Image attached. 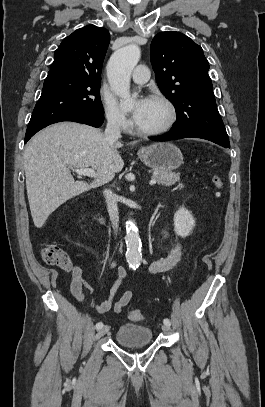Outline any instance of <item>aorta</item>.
I'll use <instances>...</instances> for the list:
<instances>
[{
  "label": "aorta",
  "mask_w": 265,
  "mask_h": 407,
  "mask_svg": "<svg viewBox=\"0 0 265 407\" xmlns=\"http://www.w3.org/2000/svg\"><path fill=\"white\" fill-rule=\"evenodd\" d=\"M140 48L135 44L118 49L107 64V76L114 93L120 98L123 107L134 104L137 93L130 94V76L140 59ZM126 225V260L131 269H136L141 262V239L134 220L129 219Z\"/></svg>",
  "instance_id": "1"
}]
</instances>
